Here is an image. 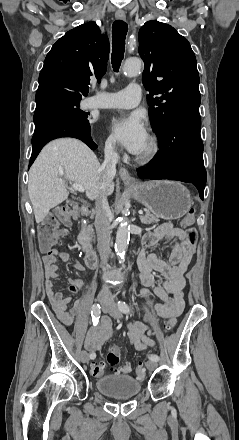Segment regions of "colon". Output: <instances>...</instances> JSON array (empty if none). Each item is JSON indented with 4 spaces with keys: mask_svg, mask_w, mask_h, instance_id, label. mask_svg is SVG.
I'll use <instances>...</instances> for the list:
<instances>
[{
    "mask_svg": "<svg viewBox=\"0 0 239 440\" xmlns=\"http://www.w3.org/2000/svg\"><path fill=\"white\" fill-rule=\"evenodd\" d=\"M76 217L77 204L75 202L69 201L64 205L57 207L52 214L46 217L40 228L39 239L41 248L44 251L51 249L61 237L62 230L59 228L58 221L67 224ZM194 221V211L191 209L182 219V226L186 229V237L191 245H195L198 236L197 230L193 227ZM175 325L176 319L174 317L170 318L165 324V330L171 332L175 328ZM120 355V347L118 345L112 346L107 355V362L112 370H116L119 373H127L130 371L128 365H118ZM90 372L95 377H101L107 373L105 367L99 362H93L91 364ZM136 376L139 380H142L145 376V370L141 363H139L136 368Z\"/></svg>",
    "mask_w": 239,
    "mask_h": 440,
    "instance_id": "obj_1",
    "label": "colon"
}]
</instances>
